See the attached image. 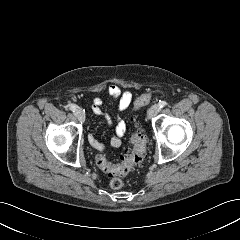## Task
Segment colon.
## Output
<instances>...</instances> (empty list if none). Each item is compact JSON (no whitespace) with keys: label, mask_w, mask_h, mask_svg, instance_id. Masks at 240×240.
Here are the masks:
<instances>
[{"label":"colon","mask_w":240,"mask_h":240,"mask_svg":"<svg viewBox=\"0 0 240 240\" xmlns=\"http://www.w3.org/2000/svg\"><path fill=\"white\" fill-rule=\"evenodd\" d=\"M151 100V95L144 93L135 100V106L147 105ZM146 139L140 129H136L130 138V146L121 157L119 164H113L103 155L96 159L99 168L110 177L109 185L112 189H120L124 182L121 177L125 176L134 167L139 166L145 157Z\"/></svg>","instance_id":"colon-1"}]
</instances>
